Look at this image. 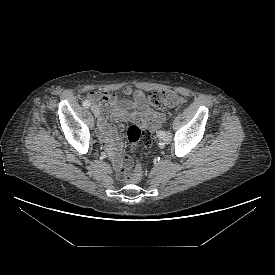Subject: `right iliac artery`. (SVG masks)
<instances>
[{"instance_id":"1","label":"right iliac artery","mask_w":275,"mask_h":275,"mask_svg":"<svg viewBox=\"0 0 275 275\" xmlns=\"http://www.w3.org/2000/svg\"><path fill=\"white\" fill-rule=\"evenodd\" d=\"M90 105H91V103H90V101H88V100H85V101L83 102V106H84L85 108L90 107Z\"/></svg>"}]
</instances>
